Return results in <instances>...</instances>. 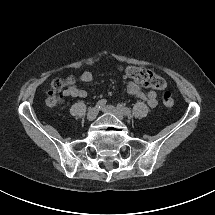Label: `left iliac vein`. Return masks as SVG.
<instances>
[{
	"instance_id": "1",
	"label": "left iliac vein",
	"mask_w": 215,
	"mask_h": 215,
	"mask_svg": "<svg viewBox=\"0 0 215 215\" xmlns=\"http://www.w3.org/2000/svg\"><path fill=\"white\" fill-rule=\"evenodd\" d=\"M102 111H104L106 113H109V114H112V115L116 116L120 120L125 119V114L123 112H121L120 110H117L116 108H114L111 105L103 107Z\"/></svg>"
}]
</instances>
